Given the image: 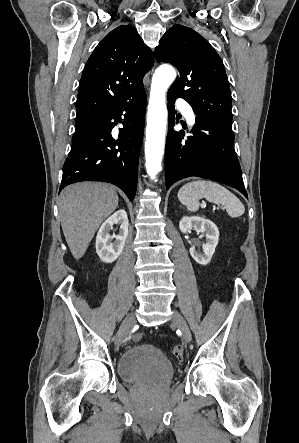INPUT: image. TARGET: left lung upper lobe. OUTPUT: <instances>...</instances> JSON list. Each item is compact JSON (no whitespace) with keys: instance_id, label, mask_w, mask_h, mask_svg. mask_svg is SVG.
Wrapping results in <instances>:
<instances>
[{"instance_id":"obj_1","label":"left lung upper lobe","mask_w":299,"mask_h":443,"mask_svg":"<svg viewBox=\"0 0 299 443\" xmlns=\"http://www.w3.org/2000/svg\"><path fill=\"white\" fill-rule=\"evenodd\" d=\"M155 56L179 71L168 94L185 99L197 116L232 129L229 82L220 56L206 39L176 24L160 39Z\"/></svg>"}]
</instances>
